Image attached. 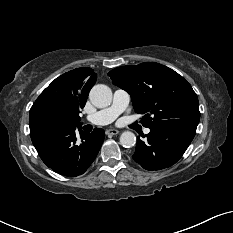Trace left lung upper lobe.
Here are the masks:
<instances>
[{"label":"left lung upper lobe","mask_w":233,"mask_h":233,"mask_svg":"<svg viewBox=\"0 0 233 233\" xmlns=\"http://www.w3.org/2000/svg\"><path fill=\"white\" fill-rule=\"evenodd\" d=\"M108 76L114 85L130 94L134 110L144 114L143 126L180 127L196 132L200 120L197 95L174 70L145 62L115 68Z\"/></svg>","instance_id":"5c2ea615"}]
</instances>
